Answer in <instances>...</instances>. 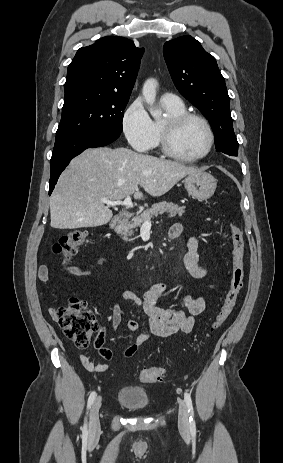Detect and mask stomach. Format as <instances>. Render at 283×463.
I'll return each mask as SVG.
<instances>
[{
  "label": "stomach",
  "mask_w": 283,
  "mask_h": 463,
  "mask_svg": "<svg viewBox=\"0 0 283 463\" xmlns=\"http://www.w3.org/2000/svg\"><path fill=\"white\" fill-rule=\"evenodd\" d=\"M184 185L192 198L205 201L213 196L217 181L211 174L199 171L187 175L184 179Z\"/></svg>",
  "instance_id": "stomach-1"
}]
</instances>
